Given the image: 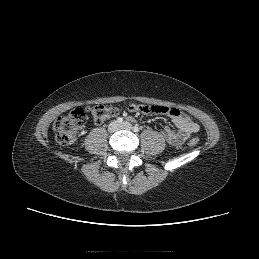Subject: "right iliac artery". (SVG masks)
Returning <instances> with one entry per match:
<instances>
[{
  "label": "right iliac artery",
  "instance_id": "82829eb1",
  "mask_svg": "<svg viewBox=\"0 0 259 259\" xmlns=\"http://www.w3.org/2000/svg\"><path fill=\"white\" fill-rule=\"evenodd\" d=\"M117 122H118V123H122V122H123V118H122V117H118V118H117Z\"/></svg>",
  "mask_w": 259,
  "mask_h": 259
}]
</instances>
